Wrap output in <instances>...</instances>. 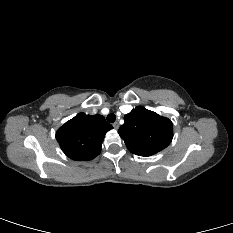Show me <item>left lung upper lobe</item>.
Masks as SVG:
<instances>
[{
  "instance_id": "left-lung-upper-lobe-1",
  "label": "left lung upper lobe",
  "mask_w": 233,
  "mask_h": 233,
  "mask_svg": "<svg viewBox=\"0 0 233 233\" xmlns=\"http://www.w3.org/2000/svg\"><path fill=\"white\" fill-rule=\"evenodd\" d=\"M118 133L128 150L139 156H151L166 148L173 138V124L168 118L136 107L126 114Z\"/></svg>"
}]
</instances>
